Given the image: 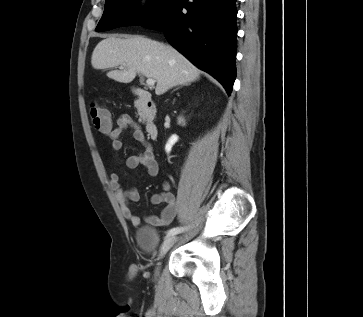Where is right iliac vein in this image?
<instances>
[{"mask_svg":"<svg viewBox=\"0 0 363 317\" xmlns=\"http://www.w3.org/2000/svg\"><path fill=\"white\" fill-rule=\"evenodd\" d=\"M177 240L178 237L176 235L167 236L161 245L159 257L160 258L164 257L165 254L169 251V249L174 245V243ZM158 273H159V267H157L155 271L156 277L158 276Z\"/></svg>","mask_w":363,"mask_h":317,"instance_id":"63e3f726","label":"right iliac vein"}]
</instances>
